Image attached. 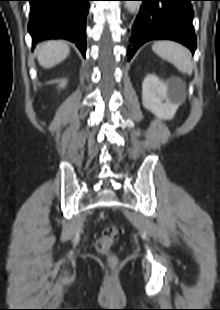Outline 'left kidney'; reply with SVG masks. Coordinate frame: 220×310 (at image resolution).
<instances>
[{"mask_svg": "<svg viewBox=\"0 0 220 310\" xmlns=\"http://www.w3.org/2000/svg\"><path fill=\"white\" fill-rule=\"evenodd\" d=\"M142 100L144 106L160 119L170 120L175 115L176 108L169 99L168 87L155 75L145 77L142 84Z\"/></svg>", "mask_w": 220, "mask_h": 310, "instance_id": "1", "label": "left kidney"}]
</instances>
